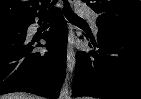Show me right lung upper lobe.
<instances>
[{
	"instance_id": "cb5924a9",
	"label": "right lung upper lobe",
	"mask_w": 141,
	"mask_h": 99,
	"mask_svg": "<svg viewBox=\"0 0 141 99\" xmlns=\"http://www.w3.org/2000/svg\"><path fill=\"white\" fill-rule=\"evenodd\" d=\"M50 0H0V22L22 21L49 14Z\"/></svg>"
}]
</instances>
